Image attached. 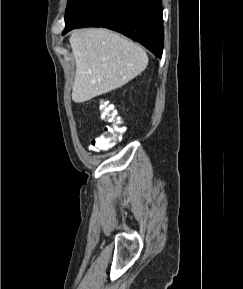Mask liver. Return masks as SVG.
Masks as SVG:
<instances>
[{"label": "liver", "instance_id": "6515ba94", "mask_svg": "<svg viewBox=\"0 0 243 289\" xmlns=\"http://www.w3.org/2000/svg\"><path fill=\"white\" fill-rule=\"evenodd\" d=\"M69 41L76 62L72 88L76 103L122 87L148 64V56L140 45L107 29L75 30Z\"/></svg>", "mask_w": 243, "mask_h": 289}]
</instances>
